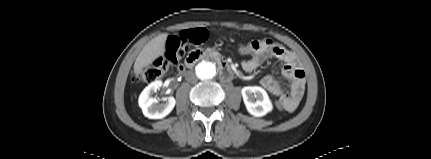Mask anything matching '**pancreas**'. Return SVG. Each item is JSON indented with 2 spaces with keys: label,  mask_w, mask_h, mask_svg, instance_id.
Wrapping results in <instances>:
<instances>
[{
  "label": "pancreas",
  "mask_w": 431,
  "mask_h": 159,
  "mask_svg": "<svg viewBox=\"0 0 431 159\" xmlns=\"http://www.w3.org/2000/svg\"><path fill=\"white\" fill-rule=\"evenodd\" d=\"M212 51H213L212 49H207V52H210V53H211Z\"/></svg>",
  "instance_id": "pancreas-1"
}]
</instances>
